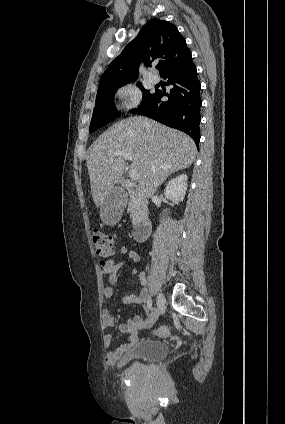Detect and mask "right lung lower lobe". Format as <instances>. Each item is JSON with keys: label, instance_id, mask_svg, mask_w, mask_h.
I'll list each match as a JSON object with an SVG mask.
<instances>
[{"label": "right lung lower lobe", "instance_id": "right-lung-lower-lobe-1", "mask_svg": "<svg viewBox=\"0 0 285 424\" xmlns=\"http://www.w3.org/2000/svg\"><path fill=\"white\" fill-rule=\"evenodd\" d=\"M168 79L172 89L168 93L156 91L152 98L132 111L145 115L166 126L181 130L195 141L199 148L200 140V82L192 57L182 65L168 71L162 76ZM167 96L168 100L161 101Z\"/></svg>", "mask_w": 285, "mask_h": 424}]
</instances>
